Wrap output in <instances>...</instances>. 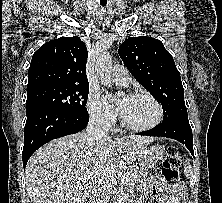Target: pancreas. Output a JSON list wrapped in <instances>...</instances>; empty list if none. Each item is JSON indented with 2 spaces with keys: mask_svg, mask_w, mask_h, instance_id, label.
<instances>
[{
  "mask_svg": "<svg viewBox=\"0 0 222 203\" xmlns=\"http://www.w3.org/2000/svg\"><path fill=\"white\" fill-rule=\"evenodd\" d=\"M146 176L147 172H143L135 166H129L123 171L122 178H128L131 183L135 184L145 180ZM116 196L117 193L115 191L109 190L108 192H104L101 195L102 200H99V203H109L114 200Z\"/></svg>",
  "mask_w": 222,
  "mask_h": 203,
  "instance_id": "obj_1",
  "label": "pancreas"
}]
</instances>
